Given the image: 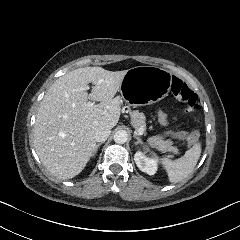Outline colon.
I'll return each instance as SVG.
<instances>
[{
  "mask_svg": "<svg viewBox=\"0 0 240 240\" xmlns=\"http://www.w3.org/2000/svg\"><path fill=\"white\" fill-rule=\"evenodd\" d=\"M179 99L188 104L189 110H196L199 108V101L197 94L186 84L182 85L176 91ZM158 122H162V124H167V113H163V110H158ZM198 140V132L194 131L190 137L186 138V146H191L195 144V141Z\"/></svg>",
  "mask_w": 240,
  "mask_h": 240,
  "instance_id": "colon-1",
  "label": "colon"
}]
</instances>
